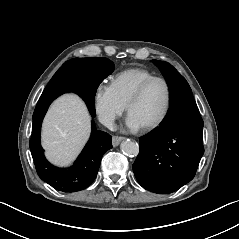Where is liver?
I'll return each mask as SVG.
<instances>
[{"label": "liver", "mask_w": 239, "mask_h": 239, "mask_svg": "<svg viewBox=\"0 0 239 239\" xmlns=\"http://www.w3.org/2000/svg\"><path fill=\"white\" fill-rule=\"evenodd\" d=\"M90 117L75 96H64L50 107L42 131L44 148L52 161L64 164L78 153L88 138Z\"/></svg>", "instance_id": "6515ba94"}]
</instances>
